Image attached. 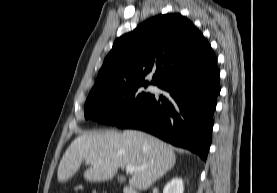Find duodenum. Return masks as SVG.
<instances>
[{"instance_id": "410a0bca", "label": "duodenum", "mask_w": 277, "mask_h": 193, "mask_svg": "<svg viewBox=\"0 0 277 193\" xmlns=\"http://www.w3.org/2000/svg\"><path fill=\"white\" fill-rule=\"evenodd\" d=\"M123 193H138V192L130 186H125L123 188Z\"/></svg>"}]
</instances>
